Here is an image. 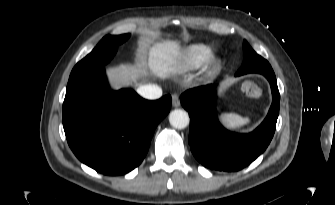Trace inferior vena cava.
Returning <instances> with one entry per match:
<instances>
[{
    "instance_id": "obj_1",
    "label": "inferior vena cava",
    "mask_w": 335,
    "mask_h": 205,
    "mask_svg": "<svg viewBox=\"0 0 335 205\" xmlns=\"http://www.w3.org/2000/svg\"><path fill=\"white\" fill-rule=\"evenodd\" d=\"M143 98L154 100L162 96V89L158 85H142L137 89Z\"/></svg>"
}]
</instances>
